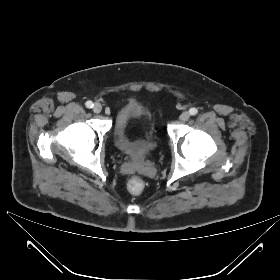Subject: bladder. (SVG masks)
Instances as JSON below:
<instances>
[{
  "label": "bladder",
  "mask_w": 280,
  "mask_h": 280,
  "mask_svg": "<svg viewBox=\"0 0 280 280\" xmlns=\"http://www.w3.org/2000/svg\"><path fill=\"white\" fill-rule=\"evenodd\" d=\"M142 125V135L136 139L128 136V128L132 123ZM115 145L121 153L133 162L142 163L155 150L154 119L151 111L140 103H128L121 108L114 127Z\"/></svg>",
  "instance_id": "1"
}]
</instances>
